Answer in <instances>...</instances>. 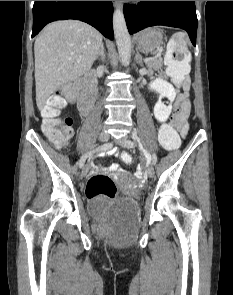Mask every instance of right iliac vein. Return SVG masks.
Wrapping results in <instances>:
<instances>
[{"label":"right iliac vein","instance_id":"63e3f726","mask_svg":"<svg viewBox=\"0 0 233 295\" xmlns=\"http://www.w3.org/2000/svg\"><path fill=\"white\" fill-rule=\"evenodd\" d=\"M99 140L101 142H107L109 140V133L106 131H103L99 136ZM103 151H105V150H103ZM88 171H89V165L86 164L82 169V176H86Z\"/></svg>","mask_w":233,"mask_h":295}]
</instances>
